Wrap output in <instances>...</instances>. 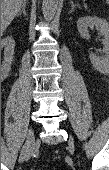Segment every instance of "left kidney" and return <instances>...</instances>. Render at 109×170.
Instances as JSON below:
<instances>
[{
  "mask_svg": "<svg viewBox=\"0 0 109 170\" xmlns=\"http://www.w3.org/2000/svg\"><path fill=\"white\" fill-rule=\"evenodd\" d=\"M95 27L104 37L106 47L103 49L104 56L99 57L95 54H90L92 65L101 73H107L109 70V22L105 19L96 16L81 17L77 21V28L82 38L88 39V28Z\"/></svg>",
  "mask_w": 109,
  "mask_h": 170,
  "instance_id": "1",
  "label": "left kidney"
}]
</instances>
